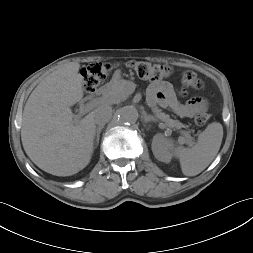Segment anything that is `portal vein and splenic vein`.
<instances>
[{
	"label": "portal vein and splenic vein",
	"instance_id": "obj_1",
	"mask_svg": "<svg viewBox=\"0 0 253 253\" xmlns=\"http://www.w3.org/2000/svg\"><path fill=\"white\" fill-rule=\"evenodd\" d=\"M91 108V104H86V105H83L81 108H80V113L81 114H84L86 112H88ZM79 118V117H77Z\"/></svg>",
	"mask_w": 253,
	"mask_h": 253
}]
</instances>
